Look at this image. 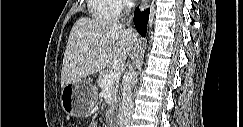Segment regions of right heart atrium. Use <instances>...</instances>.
<instances>
[{"instance_id": "1", "label": "right heart atrium", "mask_w": 243, "mask_h": 127, "mask_svg": "<svg viewBox=\"0 0 243 127\" xmlns=\"http://www.w3.org/2000/svg\"><path fill=\"white\" fill-rule=\"evenodd\" d=\"M116 1H117L116 14H122L129 9L130 1L128 0H116Z\"/></svg>"}]
</instances>
